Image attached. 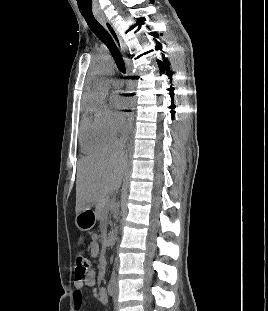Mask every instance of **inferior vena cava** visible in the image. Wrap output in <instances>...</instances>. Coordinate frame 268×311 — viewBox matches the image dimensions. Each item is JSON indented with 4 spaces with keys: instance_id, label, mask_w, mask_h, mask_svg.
<instances>
[{
    "instance_id": "inferior-vena-cava-1",
    "label": "inferior vena cava",
    "mask_w": 268,
    "mask_h": 311,
    "mask_svg": "<svg viewBox=\"0 0 268 311\" xmlns=\"http://www.w3.org/2000/svg\"><path fill=\"white\" fill-rule=\"evenodd\" d=\"M122 146V144L120 143L119 145H118V147H121Z\"/></svg>"
}]
</instances>
